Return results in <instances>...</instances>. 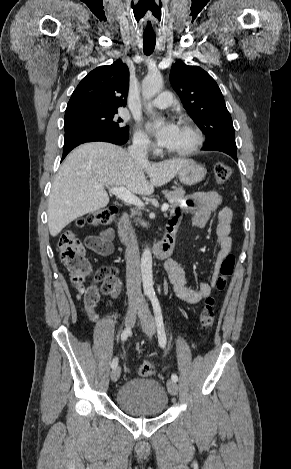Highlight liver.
<instances>
[{
  "label": "liver",
  "mask_w": 291,
  "mask_h": 469,
  "mask_svg": "<svg viewBox=\"0 0 291 469\" xmlns=\"http://www.w3.org/2000/svg\"><path fill=\"white\" fill-rule=\"evenodd\" d=\"M190 162L188 159L141 162L125 149L104 142L77 147L64 160L52 185L48 202L51 236H57L75 219L108 205L107 192L96 185L123 186L132 194L151 195L154 187L170 182Z\"/></svg>",
  "instance_id": "6515ba94"
}]
</instances>
